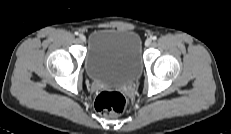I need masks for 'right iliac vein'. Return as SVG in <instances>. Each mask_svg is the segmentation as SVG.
<instances>
[{
	"label": "right iliac vein",
	"instance_id": "obj_1",
	"mask_svg": "<svg viewBox=\"0 0 231 134\" xmlns=\"http://www.w3.org/2000/svg\"><path fill=\"white\" fill-rule=\"evenodd\" d=\"M79 40H80L81 42H85V40H86L85 35L80 34V35H79Z\"/></svg>",
	"mask_w": 231,
	"mask_h": 134
}]
</instances>
